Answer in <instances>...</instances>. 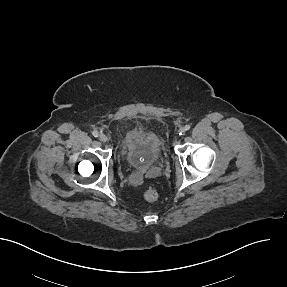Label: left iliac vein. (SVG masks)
Listing matches in <instances>:
<instances>
[{
	"instance_id": "4c4485c4",
	"label": "left iliac vein",
	"mask_w": 287,
	"mask_h": 287,
	"mask_svg": "<svg viewBox=\"0 0 287 287\" xmlns=\"http://www.w3.org/2000/svg\"><path fill=\"white\" fill-rule=\"evenodd\" d=\"M179 132H180V133H184V132H185V128H184V127L180 128V129H179Z\"/></svg>"
}]
</instances>
